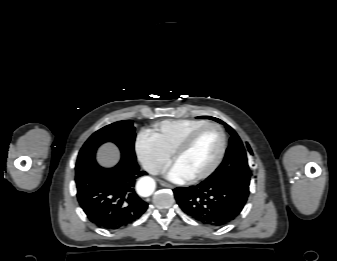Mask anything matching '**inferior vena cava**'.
<instances>
[{"mask_svg": "<svg viewBox=\"0 0 337 261\" xmlns=\"http://www.w3.org/2000/svg\"><path fill=\"white\" fill-rule=\"evenodd\" d=\"M143 168L145 171H147L150 174L157 175L160 173L162 167L158 164H152V163H147L143 165Z\"/></svg>", "mask_w": 337, "mask_h": 261, "instance_id": "obj_1", "label": "inferior vena cava"}]
</instances>
